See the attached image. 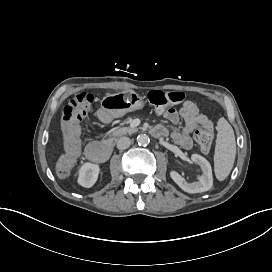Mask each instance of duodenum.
I'll list each match as a JSON object with an SVG mask.
<instances>
[{
	"label": "duodenum",
	"instance_id": "410a0bca",
	"mask_svg": "<svg viewBox=\"0 0 272 272\" xmlns=\"http://www.w3.org/2000/svg\"><path fill=\"white\" fill-rule=\"evenodd\" d=\"M98 118L102 122H106L108 120V115L106 112L101 111L98 114ZM152 134L155 137H160L162 136V132L153 129ZM113 151V144L112 142H103V143H90L85 150L86 157L97 163H102L105 162L109 159Z\"/></svg>",
	"mask_w": 272,
	"mask_h": 272
}]
</instances>
